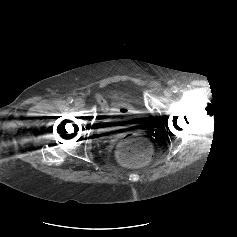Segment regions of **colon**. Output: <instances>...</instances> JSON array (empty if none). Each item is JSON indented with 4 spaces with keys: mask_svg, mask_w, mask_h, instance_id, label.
I'll list each match as a JSON object with an SVG mask.
<instances>
[{
    "mask_svg": "<svg viewBox=\"0 0 237 237\" xmlns=\"http://www.w3.org/2000/svg\"><path fill=\"white\" fill-rule=\"evenodd\" d=\"M117 155L126 165H142L151 156L148 141L138 133L127 134L119 143Z\"/></svg>",
    "mask_w": 237,
    "mask_h": 237,
    "instance_id": "1",
    "label": "colon"
}]
</instances>
